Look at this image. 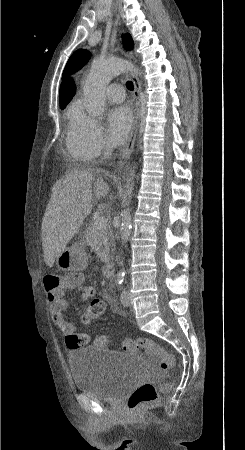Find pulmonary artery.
<instances>
[{
    "label": "pulmonary artery",
    "mask_w": 245,
    "mask_h": 450,
    "mask_svg": "<svg viewBox=\"0 0 245 450\" xmlns=\"http://www.w3.org/2000/svg\"><path fill=\"white\" fill-rule=\"evenodd\" d=\"M123 90L124 87L122 84L111 82L105 89L106 98L111 102L121 103L124 101Z\"/></svg>",
    "instance_id": "pulmonary-artery-1"
}]
</instances>
